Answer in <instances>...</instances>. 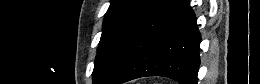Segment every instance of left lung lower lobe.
I'll list each match as a JSON object with an SVG mask.
<instances>
[{"label":"left lung lower lobe","instance_id":"1","mask_svg":"<svg viewBox=\"0 0 260 84\" xmlns=\"http://www.w3.org/2000/svg\"><path fill=\"white\" fill-rule=\"evenodd\" d=\"M200 33L189 0H159L130 38L103 84L146 76L197 84Z\"/></svg>","mask_w":260,"mask_h":84}]
</instances>
